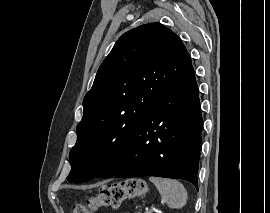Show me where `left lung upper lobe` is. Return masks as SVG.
<instances>
[{"label": "left lung upper lobe", "instance_id": "5c2ea615", "mask_svg": "<svg viewBox=\"0 0 270 213\" xmlns=\"http://www.w3.org/2000/svg\"><path fill=\"white\" fill-rule=\"evenodd\" d=\"M191 65L181 39L160 23L123 34L84 97L77 142L69 154L68 181H88L99 165L109 164L175 78Z\"/></svg>", "mask_w": 270, "mask_h": 213}]
</instances>
